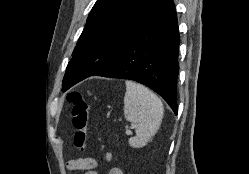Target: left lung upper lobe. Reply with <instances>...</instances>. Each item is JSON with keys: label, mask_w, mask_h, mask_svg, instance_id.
<instances>
[{"label": "left lung upper lobe", "mask_w": 249, "mask_h": 174, "mask_svg": "<svg viewBox=\"0 0 249 174\" xmlns=\"http://www.w3.org/2000/svg\"><path fill=\"white\" fill-rule=\"evenodd\" d=\"M166 0H97L72 53L62 91L105 67Z\"/></svg>", "instance_id": "obj_1"}]
</instances>
